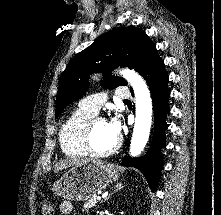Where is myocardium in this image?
I'll return each mask as SVG.
<instances>
[{
    "label": "myocardium",
    "instance_id": "f54148a6",
    "mask_svg": "<svg viewBox=\"0 0 221 215\" xmlns=\"http://www.w3.org/2000/svg\"><path fill=\"white\" fill-rule=\"evenodd\" d=\"M99 121H106L105 118L100 117V116H93L91 117L84 129V134H83V145L84 148L86 149L88 154H91L96 157H106L114 154L117 152V150L120 148L121 145V139L118 138L116 143L109 149L104 150V151H99L97 150L92 143V135H93V129L94 126L97 122Z\"/></svg>",
    "mask_w": 221,
    "mask_h": 215
}]
</instances>
